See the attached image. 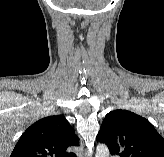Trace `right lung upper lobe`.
<instances>
[{
  "mask_svg": "<svg viewBox=\"0 0 164 157\" xmlns=\"http://www.w3.org/2000/svg\"><path fill=\"white\" fill-rule=\"evenodd\" d=\"M79 139L63 115L40 119L20 137L10 157H75L67 148Z\"/></svg>",
  "mask_w": 164,
  "mask_h": 157,
  "instance_id": "right-lung-upper-lobe-1",
  "label": "right lung upper lobe"
}]
</instances>
